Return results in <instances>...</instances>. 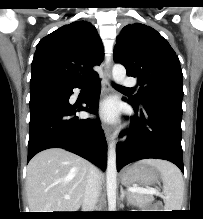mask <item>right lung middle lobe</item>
Returning <instances> with one entry per match:
<instances>
[{
    "label": "right lung middle lobe",
    "instance_id": "right-lung-middle-lobe-1",
    "mask_svg": "<svg viewBox=\"0 0 203 219\" xmlns=\"http://www.w3.org/2000/svg\"><path fill=\"white\" fill-rule=\"evenodd\" d=\"M59 84H62V83L52 81V80L34 81V82H30V91L38 87L54 86V85H59Z\"/></svg>",
    "mask_w": 203,
    "mask_h": 219
}]
</instances>
